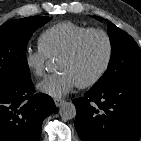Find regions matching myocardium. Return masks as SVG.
<instances>
[{"label": "myocardium", "mask_w": 141, "mask_h": 141, "mask_svg": "<svg viewBox=\"0 0 141 141\" xmlns=\"http://www.w3.org/2000/svg\"><path fill=\"white\" fill-rule=\"evenodd\" d=\"M92 34L101 35L105 39L106 45H107L106 57L104 59V62L102 64V66L100 67V69L91 78H89L86 81L77 83V85L80 88H88V87L94 86L106 74V72H107V70H108V68H109V66L111 64L112 57H113V41H112L111 36L109 35V33L107 31H105L103 29L89 28L88 30H86L83 33H81L72 42V44L60 55V58H69V57H72L79 50V48L82 45V43L84 42V40L88 36H90Z\"/></svg>", "instance_id": "1"}]
</instances>
